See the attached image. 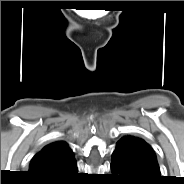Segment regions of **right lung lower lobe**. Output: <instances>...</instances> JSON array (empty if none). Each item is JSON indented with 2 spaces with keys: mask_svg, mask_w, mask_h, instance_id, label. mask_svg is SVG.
<instances>
[{
  "mask_svg": "<svg viewBox=\"0 0 184 184\" xmlns=\"http://www.w3.org/2000/svg\"><path fill=\"white\" fill-rule=\"evenodd\" d=\"M77 165L74 157L59 167L56 171L46 175L35 176L39 184H71L77 176Z\"/></svg>",
  "mask_w": 184,
  "mask_h": 184,
  "instance_id": "1",
  "label": "right lung lower lobe"
}]
</instances>
